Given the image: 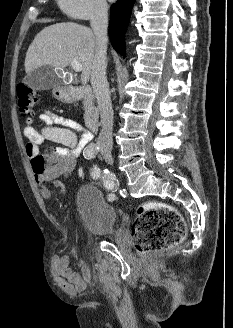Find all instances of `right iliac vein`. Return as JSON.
Returning a JSON list of instances; mask_svg holds the SVG:
<instances>
[{"instance_id": "right-iliac-vein-1", "label": "right iliac vein", "mask_w": 233, "mask_h": 328, "mask_svg": "<svg viewBox=\"0 0 233 328\" xmlns=\"http://www.w3.org/2000/svg\"><path fill=\"white\" fill-rule=\"evenodd\" d=\"M102 152L109 153V150L107 148H105V149H102Z\"/></svg>"}]
</instances>
